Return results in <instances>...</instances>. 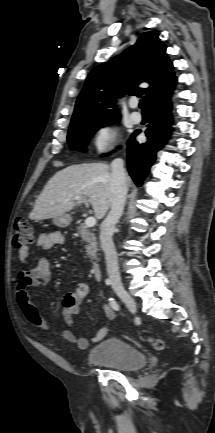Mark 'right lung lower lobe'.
I'll use <instances>...</instances> for the list:
<instances>
[{"mask_svg":"<svg viewBox=\"0 0 215 433\" xmlns=\"http://www.w3.org/2000/svg\"><path fill=\"white\" fill-rule=\"evenodd\" d=\"M172 88L149 103L152 120L145 131L147 142L138 144L135 134L127 141L128 172L137 186H141L151 165L155 162L156 152L170 137Z\"/></svg>","mask_w":215,"mask_h":433,"instance_id":"right-lung-lower-lobe-1","label":"right lung lower lobe"}]
</instances>
